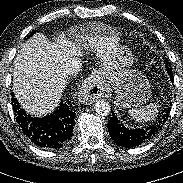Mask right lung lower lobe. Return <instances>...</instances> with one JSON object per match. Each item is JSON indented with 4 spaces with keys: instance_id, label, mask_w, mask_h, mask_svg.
Here are the masks:
<instances>
[{
    "instance_id": "right-lung-lower-lobe-1",
    "label": "right lung lower lobe",
    "mask_w": 183,
    "mask_h": 183,
    "mask_svg": "<svg viewBox=\"0 0 183 183\" xmlns=\"http://www.w3.org/2000/svg\"><path fill=\"white\" fill-rule=\"evenodd\" d=\"M12 96L16 120L27 138L43 149H60L68 145L75 126V112L69 106L62 101L53 114L36 118L27 115Z\"/></svg>"
}]
</instances>
